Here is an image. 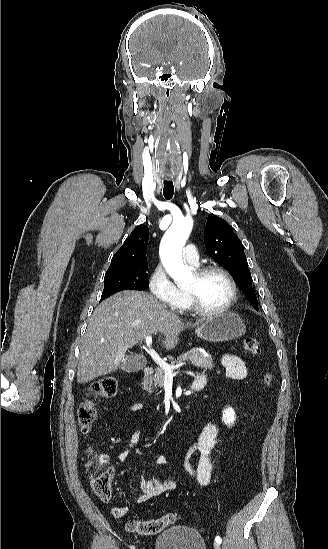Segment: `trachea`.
I'll return each mask as SVG.
<instances>
[{"instance_id":"1","label":"trachea","mask_w":328,"mask_h":549,"mask_svg":"<svg viewBox=\"0 0 328 549\" xmlns=\"http://www.w3.org/2000/svg\"><path fill=\"white\" fill-rule=\"evenodd\" d=\"M163 195L167 200H170L173 197L174 186L171 180H164Z\"/></svg>"}]
</instances>
